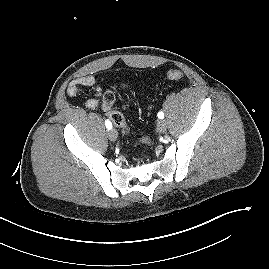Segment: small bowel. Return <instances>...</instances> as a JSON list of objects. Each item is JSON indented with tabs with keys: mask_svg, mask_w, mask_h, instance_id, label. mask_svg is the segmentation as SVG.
<instances>
[{
	"mask_svg": "<svg viewBox=\"0 0 269 269\" xmlns=\"http://www.w3.org/2000/svg\"><path fill=\"white\" fill-rule=\"evenodd\" d=\"M82 88H90L94 92V96L85 102V106L89 109L96 108L100 104L101 89L96 85V79L93 76H82L72 80L67 87V94L74 97L79 94ZM104 112L107 111L103 108Z\"/></svg>",
	"mask_w": 269,
	"mask_h": 269,
	"instance_id": "obj_1",
	"label": "small bowel"
}]
</instances>
